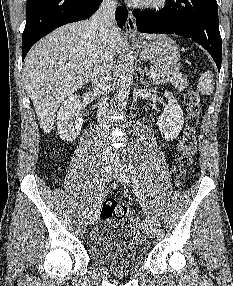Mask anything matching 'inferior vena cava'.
<instances>
[{"label":"inferior vena cava","instance_id":"obj_1","mask_svg":"<svg viewBox=\"0 0 233 286\" xmlns=\"http://www.w3.org/2000/svg\"><path fill=\"white\" fill-rule=\"evenodd\" d=\"M116 0H103L91 20V26L98 31L97 50L93 57L92 86L94 92L104 94L108 89L114 64V46L111 42V28L114 25ZM106 98L102 96L98 108V121L106 128Z\"/></svg>","mask_w":233,"mask_h":286}]
</instances>
